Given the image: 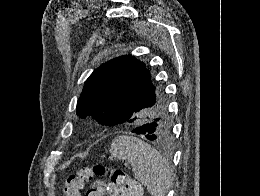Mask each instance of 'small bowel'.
I'll use <instances>...</instances> for the list:
<instances>
[{
    "label": "small bowel",
    "mask_w": 260,
    "mask_h": 196,
    "mask_svg": "<svg viewBox=\"0 0 260 196\" xmlns=\"http://www.w3.org/2000/svg\"><path fill=\"white\" fill-rule=\"evenodd\" d=\"M110 186L104 180L94 181L88 189L86 196H105Z\"/></svg>",
    "instance_id": "small-bowel-1"
}]
</instances>
